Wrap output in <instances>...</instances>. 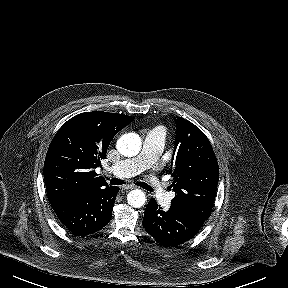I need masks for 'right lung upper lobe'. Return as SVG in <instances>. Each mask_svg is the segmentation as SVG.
I'll return each mask as SVG.
<instances>
[{"instance_id":"right-lung-upper-lobe-1","label":"right lung upper lobe","mask_w":288,"mask_h":288,"mask_svg":"<svg viewBox=\"0 0 288 288\" xmlns=\"http://www.w3.org/2000/svg\"><path fill=\"white\" fill-rule=\"evenodd\" d=\"M133 119L132 116L94 111L78 114L63 124L49 146L44 163L51 205L108 186L94 169L106 158L114 136Z\"/></svg>"}]
</instances>
